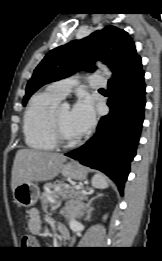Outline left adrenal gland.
Instances as JSON below:
<instances>
[{"label":"left adrenal gland","instance_id":"obj_1","mask_svg":"<svg viewBox=\"0 0 162 261\" xmlns=\"http://www.w3.org/2000/svg\"><path fill=\"white\" fill-rule=\"evenodd\" d=\"M101 196H103L102 193H97L96 196H94V197H92L90 200H88V202H87V204H86L87 218L90 217V213H91V211L93 210V208H92L90 205L92 204V202H93L95 199H97V198H99V197H101ZM82 199L87 200V197L84 195V196H82Z\"/></svg>","mask_w":162,"mask_h":261}]
</instances>
